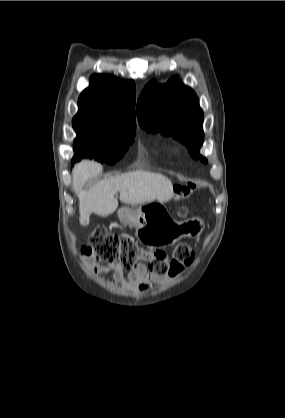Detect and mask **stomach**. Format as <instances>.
<instances>
[{"label": "stomach", "mask_w": 285, "mask_h": 418, "mask_svg": "<svg viewBox=\"0 0 285 418\" xmlns=\"http://www.w3.org/2000/svg\"><path fill=\"white\" fill-rule=\"evenodd\" d=\"M155 204L143 205L137 210L122 207L118 217L122 223L136 230V236L147 245L175 243L182 237H197L204 228L200 218H191L183 222L174 221Z\"/></svg>", "instance_id": "1"}]
</instances>
